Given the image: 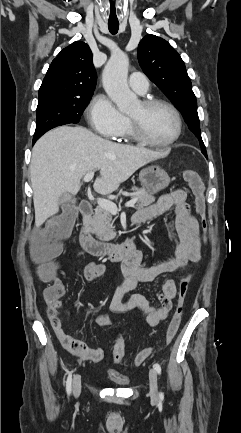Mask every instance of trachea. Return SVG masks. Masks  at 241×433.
I'll return each mask as SVG.
<instances>
[{
  "instance_id": "3493384b",
  "label": "trachea",
  "mask_w": 241,
  "mask_h": 433,
  "mask_svg": "<svg viewBox=\"0 0 241 433\" xmlns=\"http://www.w3.org/2000/svg\"><path fill=\"white\" fill-rule=\"evenodd\" d=\"M109 10H110V15H109L108 28L110 33L115 35L119 29L118 15L115 13L116 4L110 3Z\"/></svg>"
}]
</instances>
